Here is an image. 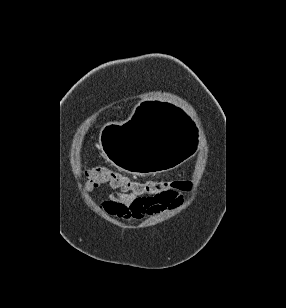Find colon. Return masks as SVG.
I'll use <instances>...</instances> for the list:
<instances>
[{
    "label": "colon",
    "instance_id": "colon-1",
    "mask_svg": "<svg viewBox=\"0 0 286 308\" xmlns=\"http://www.w3.org/2000/svg\"><path fill=\"white\" fill-rule=\"evenodd\" d=\"M85 179V188L88 190L109 185L122 192L145 198L163 197L171 190L186 192L192 188V183L188 180H132L108 166H98L88 170Z\"/></svg>",
    "mask_w": 286,
    "mask_h": 308
}]
</instances>
